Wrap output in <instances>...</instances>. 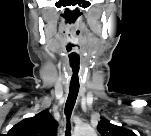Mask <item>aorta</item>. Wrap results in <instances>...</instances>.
Returning <instances> with one entry per match:
<instances>
[{
    "label": "aorta",
    "mask_w": 151,
    "mask_h": 136,
    "mask_svg": "<svg viewBox=\"0 0 151 136\" xmlns=\"http://www.w3.org/2000/svg\"><path fill=\"white\" fill-rule=\"evenodd\" d=\"M91 135L95 136V133H94V132H92V133H91Z\"/></svg>",
    "instance_id": "obj_1"
}]
</instances>
